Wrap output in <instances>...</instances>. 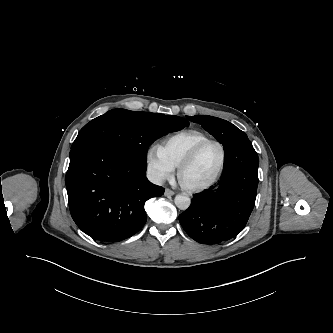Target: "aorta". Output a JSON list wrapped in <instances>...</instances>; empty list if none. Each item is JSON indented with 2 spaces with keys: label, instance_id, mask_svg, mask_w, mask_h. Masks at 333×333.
Returning a JSON list of instances; mask_svg holds the SVG:
<instances>
[{
  "label": "aorta",
  "instance_id": "1",
  "mask_svg": "<svg viewBox=\"0 0 333 333\" xmlns=\"http://www.w3.org/2000/svg\"><path fill=\"white\" fill-rule=\"evenodd\" d=\"M175 205L181 210H186L191 204V199L185 195H177L174 199Z\"/></svg>",
  "mask_w": 333,
  "mask_h": 333
}]
</instances>
